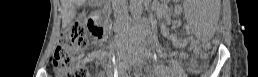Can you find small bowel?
<instances>
[{
	"label": "small bowel",
	"mask_w": 258,
	"mask_h": 77,
	"mask_svg": "<svg viewBox=\"0 0 258 77\" xmlns=\"http://www.w3.org/2000/svg\"><path fill=\"white\" fill-rule=\"evenodd\" d=\"M184 44H186V41L180 43V45H184ZM93 56L98 57V58H101V57H103V53H102L101 51H96V52L93 54Z\"/></svg>",
	"instance_id": "small-bowel-1"
}]
</instances>
